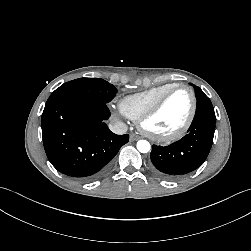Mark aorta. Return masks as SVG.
<instances>
[{"instance_id": "obj_1", "label": "aorta", "mask_w": 251, "mask_h": 251, "mask_svg": "<svg viewBox=\"0 0 251 251\" xmlns=\"http://www.w3.org/2000/svg\"><path fill=\"white\" fill-rule=\"evenodd\" d=\"M137 149L141 153H147L150 150V143L146 140H139L137 142Z\"/></svg>"}]
</instances>
